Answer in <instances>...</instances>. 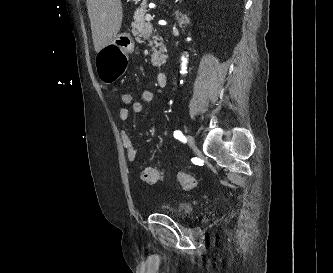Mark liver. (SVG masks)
<instances>
[{
    "label": "liver",
    "instance_id": "obj_1",
    "mask_svg": "<svg viewBox=\"0 0 333 273\" xmlns=\"http://www.w3.org/2000/svg\"><path fill=\"white\" fill-rule=\"evenodd\" d=\"M95 51L112 43L122 24L121 0H87Z\"/></svg>",
    "mask_w": 333,
    "mask_h": 273
}]
</instances>
